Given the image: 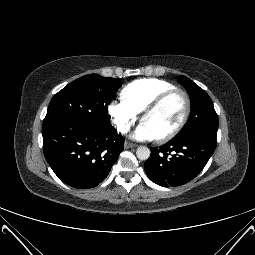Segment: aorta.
Segmentation results:
<instances>
[{
	"mask_svg": "<svg viewBox=\"0 0 255 255\" xmlns=\"http://www.w3.org/2000/svg\"><path fill=\"white\" fill-rule=\"evenodd\" d=\"M151 151L146 146H140L136 150V155L140 160H147L150 157Z\"/></svg>",
	"mask_w": 255,
	"mask_h": 255,
	"instance_id": "762f6f07",
	"label": "aorta"
}]
</instances>
